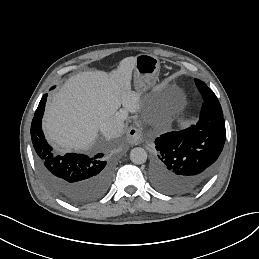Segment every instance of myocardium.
<instances>
[{"mask_svg": "<svg viewBox=\"0 0 259 259\" xmlns=\"http://www.w3.org/2000/svg\"><path fill=\"white\" fill-rule=\"evenodd\" d=\"M165 87H162L161 90L159 91L158 94H156L155 97H153L152 99L149 100V102L151 103V105L155 108L156 104L158 103L159 100H161L162 97V92L164 90Z\"/></svg>", "mask_w": 259, "mask_h": 259, "instance_id": "f54148a6", "label": "myocardium"}]
</instances>
